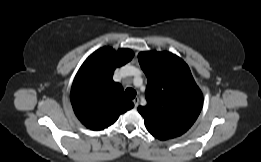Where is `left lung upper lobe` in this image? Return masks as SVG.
Segmentation results:
<instances>
[{
  "mask_svg": "<svg viewBox=\"0 0 261 162\" xmlns=\"http://www.w3.org/2000/svg\"><path fill=\"white\" fill-rule=\"evenodd\" d=\"M138 60L148 80L146 106H139L147 130L157 139L181 136L200 114L203 95L188 65L164 51H144Z\"/></svg>",
  "mask_w": 261,
  "mask_h": 162,
  "instance_id": "obj_1",
  "label": "left lung upper lobe"
}]
</instances>
